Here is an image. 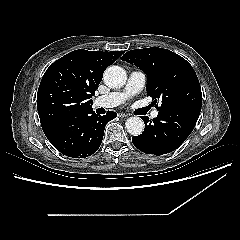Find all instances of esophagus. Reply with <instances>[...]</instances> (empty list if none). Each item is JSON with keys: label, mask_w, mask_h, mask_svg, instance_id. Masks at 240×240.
<instances>
[{"label": "esophagus", "mask_w": 240, "mask_h": 240, "mask_svg": "<svg viewBox=\"0 0 240 240\" xmlns=\"http://www.w3.org/2000/svg\"><path fill=\"white\" fill-rule=\"evenodd\" d=\"M118 116L121 117V118H126V117H128L129 115H128V114H125V113H118Z\"/></svg>", "instance_id": "esophagus-1"}]
</instances>
